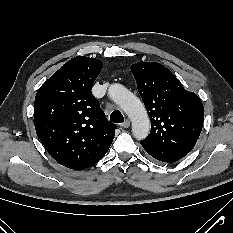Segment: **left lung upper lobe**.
Instances as JSON below:
<instances>
[{"label":"left lung upper lobe","mask_w":233,"mask_h":233,"mask_svg":"<svg viewBox=\"0 0 233 233\" xmlns=\"http://www.w3.org/2000/svg\"><path fill=\"white\" fill-rule=\"evenodd\" d=\"M131 70L151 121L150 134L144 140L188 154L203 126L204 108L200 98L185 90L160 63L137 62Z\"/></svg>","instance_id":"left-lung-upper-lobe-1"}]
</instances>
